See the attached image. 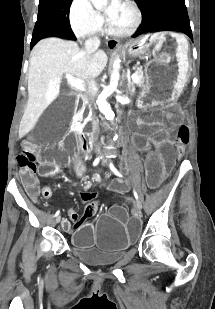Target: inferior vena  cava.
Segmentation results:
<instances>
[{
  "mask_svg": "<svg viewBox=\"0 0 215 309\" xmlns=\"http://www.w3.org/2000/svg\"><path fill=\"white\" fill-rule=\"evenodd\" d=\"M84 44H85L86 54H88V58H91V54H93V52L97 50L100 44V38H87ZM86 84H87V90H86L85 96L86 98H88L91 106H93L94 98L96 96V90H94L96 80L94 76H87ZM92 132H94V134H98L99 132L98 120L95 114H93L92 116Z\"/></svg>",
  "mask_w": 215,
  "mask_h": 309,
  "instance_id": "1",
  "label": "inferior vena cava"
}]
</instances>
